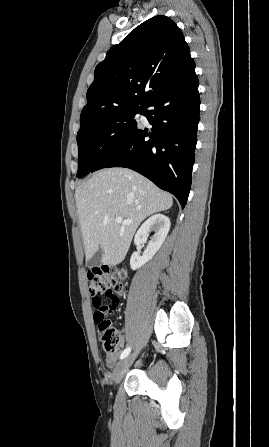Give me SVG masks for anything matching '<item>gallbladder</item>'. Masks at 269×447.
<instances>
[{"label":"gallbladder","mask_w":269,"mask_h":447,"mask_svg":"<svg viewBox=\"0 0 269 447\" xmlns=\"http://www.w3.org/2000/svg\"><path fill=\"white\" fill-rule=\"evenodd\" d=\"M102 253L103 249L99 247L98 251L94 253L93 257H91V259L87 261L86 263L87 267H98V265H101Z\"/></svg>","instance_id":"gallbladder-1"}]
</instances>
